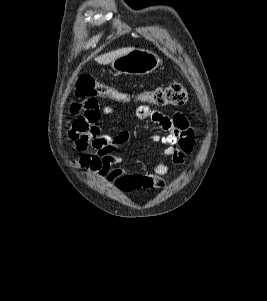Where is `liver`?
Here are the masks:
<instances>
[{"label": "liver", "mask_w": 267, "mask_h": 301, "mask_svg": "<svg viewBox=\"0 0 267 301\" xmlns=\"http://www.w3.org/2000/svg\"><path fill=\"white\" fill-rule=\"evenodd\" d=\"M134 48H122V49H118L106 54H103L99 57H96L95 60L101 64V65H107L109 63H112L114 60H116L117 58L129 53L130 51H132Z\"/></svg>", "instance_id": "liver-1"}]
</instances>
